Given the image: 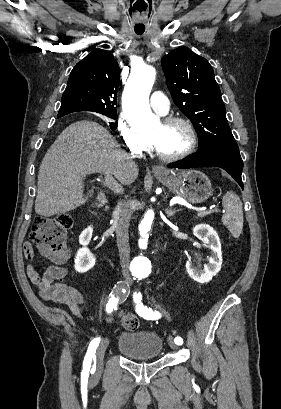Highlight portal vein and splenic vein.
Listing matches in <instances>:
<instances>
[{
	"label": "portal vein and splenic vein",
	"mask_w": 281,
	"mask_h": 409,
	"mask_svg": "<svg viewBox=\"0 0 281 409\" xmlns=\"http://www.w3.org/2000/svg\"><path fill=\"white\" fill-rule=\"evenodd\" d=\"M102 183L104 182L105 187L107 188L108 191H114V194L116 196H119L122 194V191L119 190L120 188L122 190L126 189L125 185H122V182L120 180H115V178H113L112 174H110V172H107V174H105L104 179L102 178L100 180ZM202 207V210H200V212L195 213V216H193V219L196 220H202L203 216L207 217L208 214H222L224 213V210L222 209H205L206 207H203V205H200Z\"/></svg>",
	"instance_id": "obj_1"
}]
</instances>
